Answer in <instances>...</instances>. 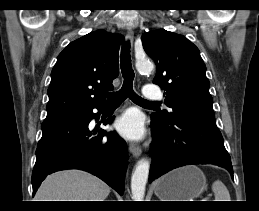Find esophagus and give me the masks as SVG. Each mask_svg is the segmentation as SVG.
I'll return each mask as SVG.
<instances>
[{"label":"esophagus","mask_w":259,"mask_h":211,"mask_svg":"<svg viewBox=\"0 0 259 211\" xmlns=\"http://www.w3.org/2000/svg\"><path fill=\"white\" fill-rule=\"evenodd\" d=\"M126 37H127V39L129 40V42H130V44L132 46L133 45V41H134V32H133V30L131 28H129L127 30ZM129 150H130V152L132 153V155L134 157H139L141 155V152H142L141 147L139 145L135 144V143H131L129 145Z\"/></svg>","instance_id":"34e87169"}]
</instances>
